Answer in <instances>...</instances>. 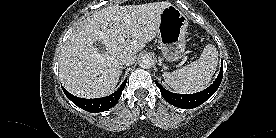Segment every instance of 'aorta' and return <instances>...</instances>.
<instances>
[{
  "instance_id": "obj_1",
  "label": "aorta",
  "mask_w": 276,
  "mask_h": 138,
  "mask_svg": "<svg viewBox=\"0 0 276 138\" xmlns=\"http://www.w3.org/2000/svg\"><path fill=\"white\" fill-rule=\"evenodd\" d=\"M138 64L143 69H149L153 65V59L149 55H143L139 58Z\"/></svg>"
}]
</instances>
